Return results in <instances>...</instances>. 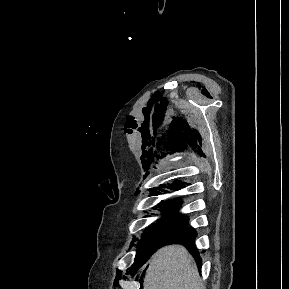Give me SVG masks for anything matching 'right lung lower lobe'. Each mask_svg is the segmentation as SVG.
<instances>
[{
    "label": "right lung lower lobe",
    "instance_id": "1",
    "mask_svg": "<svg viewBox=\"0 0 289 289\" xmlns=\"http://www.w3.org/2000/svg\"><path fill=\"white\" fill-rule=\"evenodd\" d=\"M196 236L197 233L195 229L185 225L182 229H180L179 233L174 236H155L149 237L143 241H139L137 250V262L138 264L145 263L152 255V253H154L160 246H163L165 243L176 242L182 243L184 246L188 247V249L195 257L197 264L200 265L201 258L199 253L196 251L194 244Z\"/></svg>",
    "mask_w": 289,
    "mask_h": 289
}]
</instances>
